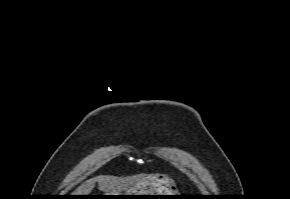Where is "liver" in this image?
I'll list each match as a JSON object with an SVG mask.
<instances>
[{"label":"liver","instance_id":"liver-1","mask_svg":"<svg viewBox=\"0 0 290 199\" xmlns=\"http://www.w3.org/2000/svg\"><path fill=\"white\" fill-rule=\"evenodd\" d=\"M98 182L99 189L108 194H117L128 189L134 182L130 178H118L114 176H98L83 182L73 195H89Z\"/></svg>","mask_w":290,"mask_h":199}]
</instances>
